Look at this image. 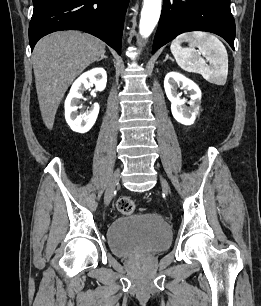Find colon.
<instances>
[{"label":"colon","mask_w":261,"mask_h":306,"mask_svg":"<svg viewBox=\"0 0 261 306\" xmlns=\"http://www.w3.org/2000/svg\"><path fill=\"white\" fill-rule=\"evenodd\" d=\"M118 210L124 215H132L137 211V207L131 199L124 197L118 201Z\"/></svg>","instance_id":"5ec220e1"}]
</instances>
